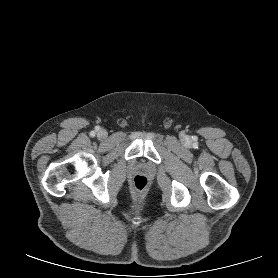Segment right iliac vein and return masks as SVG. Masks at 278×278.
<instances>
[{"label": "right iliac vein", "mask_w": 278, "mask_h": 278, "mask_svg": "<svg viewBox=\"0 0 278 278\" xmlns=\"http://www.w3.org/2000/svg\"><path fill=\"white\" fill-rule=\"evenodd\" d=\"M98 137L101 138V139H105L107 137V131L106 130H100L98 132Z\"/></svg>", "instance_id": "obj_1"}]
</instances>
